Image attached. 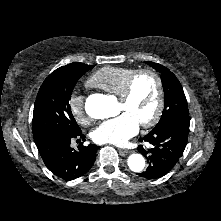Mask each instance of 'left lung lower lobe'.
Masks as SVG:
<instances>
[{
	"instance_id": "0a47b994",
	"label": "left lung lower lobe",
	"mask_w": 221,
	"mask_h": 221,
	"mask_svg": "<svg viewBox=\"0 0 221 221\" xmlns=\"http://www.w3.org/2000/svg\"><path fill=\"white\" fill-rule=\"evenodd\" d=\"M189 125V118L176 119L140 138V142H148L151 146L138 147V151L146 157L149 164L146 171L138 175L147 179H157L166 175L184 152Z\"/></svg>"
}]
</instances>
